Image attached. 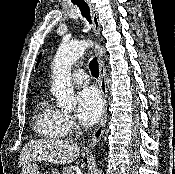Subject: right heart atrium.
<instances>
[{
  "label": "right heart atrium",
  "mask_w": 175,
  "mask_h": 174,
  "mask_svg": "<svg viewBox=\"0 0 175 174\" xmlns=\"http://www.w3.org/2000/svg\"><path fill=\"white\" fill-rule=\"evenodd\" d=\"M63 125L67 133H71L76 129L73 118L68 114H63Z\"/></svg>",
  "instance_id": "obj_1"
}]
</instances>
